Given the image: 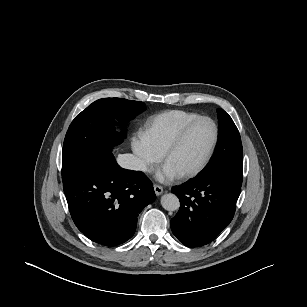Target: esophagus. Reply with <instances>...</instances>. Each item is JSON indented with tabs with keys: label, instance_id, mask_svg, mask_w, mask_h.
<instances>
[{
	"label": "esophagus",
	"instance_id": "34e87169",
	"mask_svg": "<svg viewBox=\"0 0 307 307\" xmlns=\"http://www.w3.org/2000/svg\"><path fill=\"white\" fill-rule=\"evenodd\" d=\"M154 191L157 196L163 193V188L160 185L154 184Z\"/></svg>",
	"mask_w": 307,
	"mask_h": 307
}]
</instances>
